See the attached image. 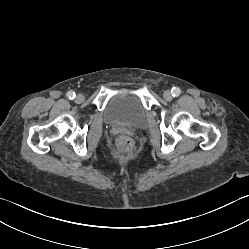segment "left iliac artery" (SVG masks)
Wrapping results in <instances>:
<instances>
[{"instance_id":"obj_1","label":"left iliac artery","mask_w":249,"mask_h":249,"mask_svg":"<svg viewBox=\"0 0 249 249\" xmlns=\"http://www.w3.org/2000/svg\"><path fill=\"white\" fill-rule=\"evenodd\" d=\"M171 92H172V95H173L174 97H177V96L180 95L181 90H180V88H178V87H173Z\"/></svg>"}]
</instances>
